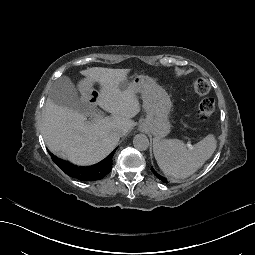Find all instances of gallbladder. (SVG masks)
Listing matches in <instances>:
<instances>
[{"label":"gallbladder","instance_id":"1","mask_svg":"<svg viewBox=\"0 0 255 255\" xmlns=\"http://www.w3.org/2000/svg\"><path fill=\"white\" fill-rule=\"evenodd\" d=\"M48 97L56 105L73 109L83 115L91 114L92 105L79 99L75 85L67 76H61L54 81Z\"/></svg>","mask_w":255,"mask_h":255}]
</instances>
